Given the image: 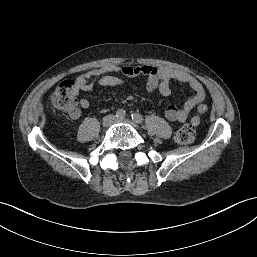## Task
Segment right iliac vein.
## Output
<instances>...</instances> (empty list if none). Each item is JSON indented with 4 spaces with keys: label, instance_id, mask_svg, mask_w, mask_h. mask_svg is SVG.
I'll return each instance as SVG.
<instances>
[{
    "label": "right iliac vein",
    "instance_id": "right-iliac-vein-1",
    "mask_svg": "<svg viewBox=\"0 0 257 257\" xmlns=\"http://www.w3.org/2000/svg\"><path fill=\"white\" fill-rule=\"evenodd\" d=\"M113 121V118L111 116H107L106 118H104L103 120V125L105 127H108Z\"/></svg>",
    "mask_w": 257,
    "mask_h": 257
}]
</instances>
